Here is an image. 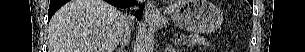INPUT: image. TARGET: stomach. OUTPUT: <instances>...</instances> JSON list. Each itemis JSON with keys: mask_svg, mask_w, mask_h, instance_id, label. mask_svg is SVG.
Instances as JSON below:
<instances>
[{"mask_svg": "<svg viewBox=\"0 0 305 52\" xmlns=\"http://www.w3.org/2000/svg\"><path fill=\"white\" fill-rule=\"evenodd\" d=\"M174 24L194 33H207L219 28L223 21L221 10L208 0H184L171 16ZM166 19L155 22L157 27L167 24Z\"/></svg>", "mask_w": 305, "mask_h": 52, "instance_id": "stomach-1", "label": "stomach"}]
</instances>
